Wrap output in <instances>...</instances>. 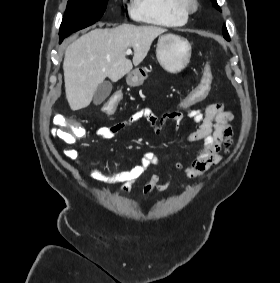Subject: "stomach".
I'll use <instances>...</instances> for the list:
<instances>
[{"instance_id":"obj_1","label":"stomach","mask_w":280,"mask_h":283,"mask_svg":"<svg viewBox=\"0 0 280 283\" xmlns=\"http://www.w3.org/2000/svg\"><path fill=\"white\" fill-rule=\"evenodd\" d=\"M156 57L163 69L169 73H179L190 62L191 45L187 39L173 33L161 35L158 39ZM145 68H137L127 76V83L140 86L147 78Z\"/></svg>"}]
</instances>
